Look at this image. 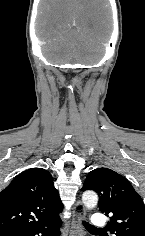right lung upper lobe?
Listing matches in <instances>:
<instances>
[{
  "instance_id": "cb5924a9",
  "label": "right lung upper lobe",
  "mask_w": 145,
  "mask_h": 236,
  "mask_svg": "<svg viewBox=\"0 0 145 236\" xmlns=\"http://www.w3.org/2000/svg\"><path fill=\"white\" fill-rule=\"evenodd\" d=\"M62 209L51 174L28 169L0 193V236L38 229L60 218Z\"/></svg>"
}]
</instances>
